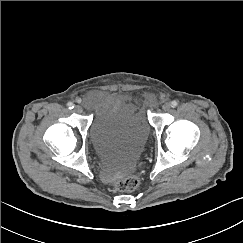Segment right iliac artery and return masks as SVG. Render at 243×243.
Masks as SVG:
<instances>
[{"mask_svg":"<svg viewBox=\"0 0 243 243\" xmlns=\"http://www.w3.org/2000/svg\"><path fill=\"white\" fill-rule=\"evenodd\" d=\"M67 107H68L69 109H73V108H74V104H73L72 102H68V103H67Z\"/></svg>","mask_w":243,"mask_h":243,"instance_id":"82829eb1","label":"right iliac artery"}]
</instances>
